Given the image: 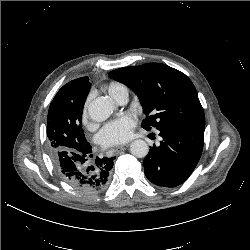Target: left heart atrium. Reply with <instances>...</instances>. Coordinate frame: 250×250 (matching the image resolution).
<instances>
[{"mask_svg": "<svg viewBox=\"0 0 250 250\" xmlns=\"http://www.w3.org/2000/svg\"><path fill=\"white\" fill-rule=\"evenodd\" d=\"M136 120L132 115H124L107 123L98 135L99 143L103 147L123 144L133 135Z\"/></svg>", "mask_w": 250, "mask_h": 250, "instance_id": "39dd6f15", "label": "left heart atrium"}]
</instances>
